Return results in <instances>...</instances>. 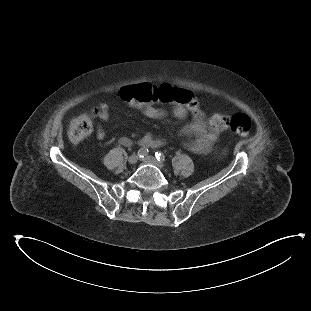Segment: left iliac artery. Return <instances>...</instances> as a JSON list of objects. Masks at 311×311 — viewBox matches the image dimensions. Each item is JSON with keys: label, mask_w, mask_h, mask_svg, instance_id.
<instances>
[{"label": "left iliac artery", "mask_w": 311, "mask_h": 311, "mask_svg": "<svg viewBox=\"0 0 311 311\" xmlns=\"http://www.w3.org/2000/svg\"><path fill=\"white\" fill-rule=\"evenodd\" d=\"M155 156H156L158 161L163 162V161L166 160L165 155L162 152H160V151L156 152Z\"/></svg>", "instance_id": "obj_1"}]
</instances>
